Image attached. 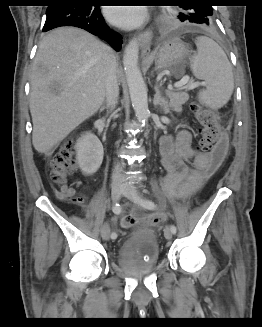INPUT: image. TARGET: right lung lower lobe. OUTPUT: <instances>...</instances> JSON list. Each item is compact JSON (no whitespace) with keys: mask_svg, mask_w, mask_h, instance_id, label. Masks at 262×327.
Returning a JSON list of instances; mask_svg holds the SVG:
<instances>
[{"mask_svg":"<svg viewBox=\"0 0 262 327\" xmlns=\"http://www.w3.org/2000/svg\"><path fill=\"white\" fill-rule=\"evenodd\" d=\"M53 3L47 8L43 32L61 26L79 27L104 39L115 50L121 49L122 38L107 27L100 6L83 5L79 0H54Z\"/></svg>","mask_w":262,"mask_h":327,"instance_id":"1","label":"right lung lower lobe"}]
</instances>
